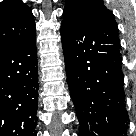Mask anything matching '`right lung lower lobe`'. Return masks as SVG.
Masks as SVG:
<instances>
[{"label": "right lung lower lobe", "mask_w": 136, "mask_h": 136, "mask_svg": "<svg viewBox=\"0 0 136 136\" xmlns=\"http://www.w3.org/2000/svg\"><path fill=\"white\" fill-rule=\"evenodd\" d=\"M34 34L0 48V136H35L38 68Z\"/></svg>", "instance_id": "98d812e1"}]
</instances>
